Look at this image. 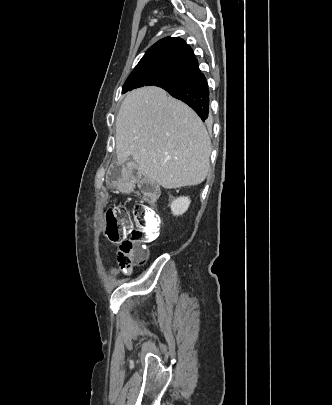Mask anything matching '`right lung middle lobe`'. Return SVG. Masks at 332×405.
<instances>
[{
    "label": "right lung middle lobe",
    "instance_id": "obj_1",
    "mask_svg": "<svg viewBox=\"0 0 332 405\" xmlns=\"http://www.w3.org/2000/svg\"><path fill=\"white\" fill-rule=\"evenodd\" d=\"M183 79L184 78H182L181 76L161 71L133 72L127 78L123 86L122 93L148 85H154L163 88L176 84Z\"/></svg>",
    "mask_w": 332,
    "mask_h": 405
}]
</instances>
